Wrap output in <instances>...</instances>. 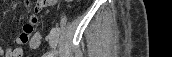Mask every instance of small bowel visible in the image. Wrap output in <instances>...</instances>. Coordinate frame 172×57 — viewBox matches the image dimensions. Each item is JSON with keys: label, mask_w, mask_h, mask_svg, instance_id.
Here are the masks:
<instances>
[{"label": "small bowel", "mask_w": 172, "mask_h": 57, "mask_svg": "<svg viewBox=\"0 0 172 57\" xmlns=\"http://www.w3.org/2000/svg\"><path fill=\"white\" fill-rule=\"evenodd\" d=\"M29 5V3H26ZM54 0H38L34 4V11L38 12L46 9L48 6L55 5ZM38 18L35 14L29 16L28 22L22 27V32L14 37L17 46L14 48L0 47V56L4 57H21L23 53L22 46L29 44L30 48L36 49L40 46L42 36L39 32L34 33V26L37 24Z\"/></svg>", "instance_id": "c3829d8e"}]
</instances>
